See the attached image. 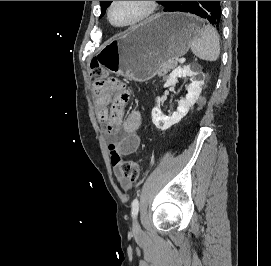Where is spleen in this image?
Segmentation results:
<instances>
[{
    "label": "spleen",
    "mask_w": 271,
    "mask_h": 266,
    "mask_svg": "<svg viewBox=\"0 0 271 266\" xmlns=\"http://www.w3.org/2000/svg\"><path fill=\"white\" fill-rule=\"evenodd\" d=\"M191 50L202 60L216 61L220 54V43L215 29L210 25L203 26L199 36L192 40Z\"/></svg>",
    "instance_id": "1"
}]
</instances>
